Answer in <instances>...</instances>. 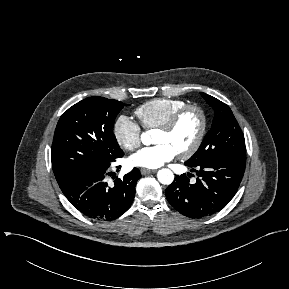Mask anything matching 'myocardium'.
Listing matches in <instances>:
<instances>
[{"label":"myocardium","instance_id":"1","mask_svg":"<svg viewBox=\"0 0 289 289\" xmlns=\"http://www.w3.org/2000/svg\"><path fill=\"white\" fill-rule=\"evenodd\" d=\"M188 112H196L198 114L200 118V128L193 143L186 150L177 153L178 156L182 159H187L194 155L200 148L205 138L208 125L207 115L205 111L198 105L187 104L177 110L163 125L158 127V130L160 131L166 133L172 132L176 128L180 120L183 118V116Z\"/></svg>","mask_w":289,"mask_h":289}]
</instances>
